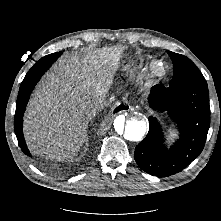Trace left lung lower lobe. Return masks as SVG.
<instances>
[{
  "instance_id": "obj_1",
  "label": "left lung lower lobe",
  "mask_w": 221,
  "mask_h": 221,
  "mask_svg": "<svg viewBox=\"0 0 221 221\" xmlns=\"http://www.w3.org/2000/svg\"><path fill=\"white\" fill-rule=\"evenodd\" d=\"M148 102L153 110L168 113L180 135L174 145L167 148L160 123L150 116L148 134L136 146L135 160L148 174L170 176L187 167L204 148L210 126L207 82L190 81L169 87L155 85Z\"/></svg>"
}]
</instances>
